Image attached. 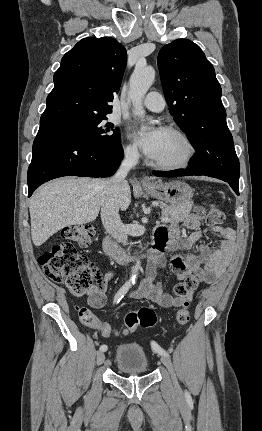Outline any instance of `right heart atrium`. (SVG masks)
Masks as SVG:
<instances>
[{"label":"right heart atrium","mask_w":262,"mask_h":431,"mask_svg":"<svg viewBox=\"0 0 262 431\" xmlns=\"http://www.w3.org/2000/svg\"><path fill=\"white\" fill-rule=\"evenodd\" d=\"M124 153L128 158H135L138 156V151L133 144H127L125 146Z\"/></svg>","instance_id":"d8ad5b80"}]
</instances>
